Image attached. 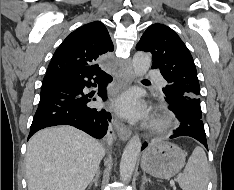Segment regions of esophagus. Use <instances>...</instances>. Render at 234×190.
Segmentation results:
<instances>
[{
  "label": "esophagus",
  "instance_id": "1",
  "mask_svg": "<svg viewBox=\"0 0 234 190\" xmlns=\"http://www.w3.org/2000/svg\"><path fill=\"white\" fill-rule=\"evenodd\" d=\"M134 81V74L131 67H129L121 76V88L126 89ZM115 128L118 134V137L121 141H126L131 136V130L127 127L122 121L115 119Z\"/></svg>",
  "mask_w": 234,
  "mask_h": 190
}]
</instances>
